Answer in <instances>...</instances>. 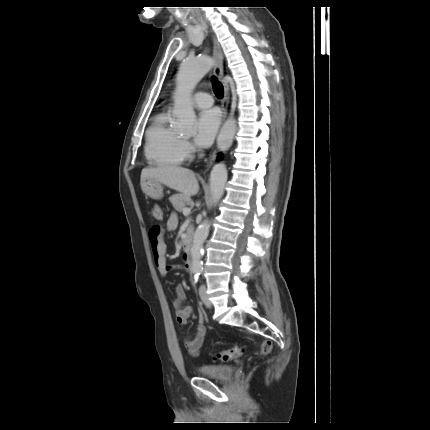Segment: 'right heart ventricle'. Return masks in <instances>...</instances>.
Instances as JSON below:
<instances>
[{
    "label": "right heart ventricle",
    "instance_id": "1",
    "mask_svg": "<svg viewBox=\"0 0 430 430\" xmlns=\"http://www.w3.org/2000/svg\"><path fill=\"white\" fill-rule=\"evenodd\" d=\"M171 119L169 113H160L146 131L144 153L152 166L177 167L187 156L182 139L170 125Z\"/></svg>",
    "mask_w": 430,
    "mask_h": 430
}]
</instances>
